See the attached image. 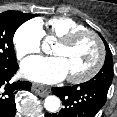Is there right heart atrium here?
<instances>
[{
  "mask_svg": "<svg viewBox=\"0 0 117 117\" xmlns=\"http://www.w3.org/2000/svg\"><path fill=\"white\" fill-rule=\"evenodd\" d=\"M43 31L39 21L23 23L14 34V46L19 58L38 53L41 48Z\"/></svg>",
  "mask_w": 117,
  "mask_h": 117,
  "instance_id": "right-heart-atrium-1",
  "label": "right heart atrium"
}]
</instances>
